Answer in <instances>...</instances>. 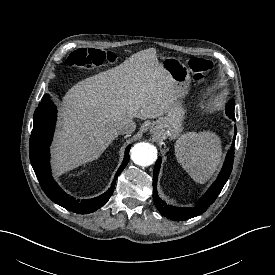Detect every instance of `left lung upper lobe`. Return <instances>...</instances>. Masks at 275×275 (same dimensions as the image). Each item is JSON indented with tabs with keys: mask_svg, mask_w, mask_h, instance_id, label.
Segmentation results:
<instances>
[{
	"mask_svg": "<svg viewBox=\"0 0 275 275\" xmlns=\"http://www.w3.org/2000/svg\"><path fill=\"white\" fill-rule=\"evenodd\" d=\"M235 101L234 99L230 100L226 105L225 112L230 118H235L234 114Z\"/></svg>",
	"mask_w": 275,
	"mask_h": 275,
	"instance_id": "left-lung-upper-lobe-1",
	"label": "left lung upper lobe"
}]
</instances>
